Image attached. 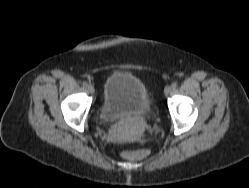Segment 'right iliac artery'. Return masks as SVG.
<instances>
[{
	"label": "right iliac artery",
	"instance_id": "obj_1",
	"mask_svg": "<svg viewBox=\"0 0 249 188\" xmlns=\"http://www.w3.org/2000/svg\"><path fill=\"white\" fill-rule=\"evenodd\" d=\"M82 84H83V86H85V87H87V86H88V83H87V82H85V81H84Z\"/></svg>",
	"mask_w": 249,
	"mask_h": 188
}]
</instances>
